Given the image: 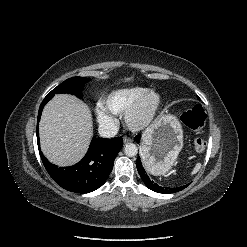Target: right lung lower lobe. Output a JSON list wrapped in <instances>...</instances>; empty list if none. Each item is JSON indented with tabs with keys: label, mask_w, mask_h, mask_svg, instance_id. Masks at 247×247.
I'll list each match as a JSON object with an SVG mask.
<instances>
[{
	"label": "right lung lower lobe",
	"mask_w": 247,
	"mask_h": 247,
	"mask_svg": "<svg viewBox=\"0 0 247 247\" xmlns=\"http://www.w3.org/2000/svg\"><path fill=\"white\" fill-rule=\"evenodd\" d=\"M51 98L46 96L42 101L38 113V122L45 104ZM36 132L38 147H40L38 127ZM122 146V137L112 139L96 138L92 140L83 159L69 167H57L49 163L41 151L40 156L49 175L62 188L76 193H89L104 184L112 171L114 160Z\"/></svg>",
	"instance_id": "obj_1"
}]
</instances>
